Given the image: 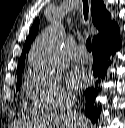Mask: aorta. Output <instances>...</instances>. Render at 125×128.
Listing matches in <instances>:
<instances>
[{
    "label": "aorta",
    "instance_id": "1",
    "mask_svg": "<svg viewBox=\"0 0 125 128\" xmlns=\"http://www.w3.org/2000/svg\"><path fill=\"white\" fill-rule=\"evenodd\" d=\"M64 42V32L60 24L44 31L35 42L29 60L39 70H52Z\"/></svg>",
    "mask_w": 125,
    "mask_h": 128
}]
</instances>
